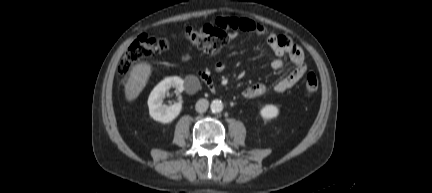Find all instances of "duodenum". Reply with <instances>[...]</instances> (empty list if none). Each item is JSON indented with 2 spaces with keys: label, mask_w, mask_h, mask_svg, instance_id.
<instances>
[{
  "label": "duodenum",
  "mask_w": 432,
  "mask_h": 193,
  "mask_svg": "<svg viewBox=\"0 0 432 193\" xmlns=\"http://www.w3.org/2000/svg\"><path fill=\"white\" fill-rule=\"evenodd\" d=\"M197 75L212 91L216 90V87H215V85H214V83H213V81L209 75H207L203 71H199L197 73Z\"/></svg>",
  "instance_id": "duodenum-1"
}]
</instances>
